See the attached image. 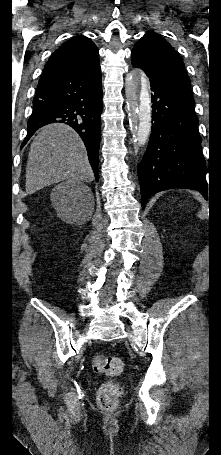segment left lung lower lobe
<instances>
[{
    "label": "left lung lower lobe",
    "mask_w": 221,
    "mask_h": 455,
    "mask_svg": "<svg viewBox=\"0 0 221 455\" xmlns=\"http://www.w3.org/2000/svg\"><path fill=\"white\" fill-rule=\"evenodd\" d=\"M150 80L152 128L138 166L142 208L152 195L172 188L198 190L207 197L206 162L201 151L193 99Z\"/></svg>",
    "instance_id": "obj_1"
}]
</instances>
